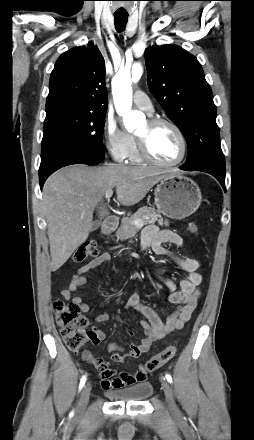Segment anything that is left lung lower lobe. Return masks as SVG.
Returning <instances> with one entry per match:
<instances>
[{"mask_svg":"<svg viewBox=\"0 0 254 440\" xmlns=\"http://www.w3.org/2000/svg\"><path fill=\"white\" fill-rule=\"evenodd\" d=\"M180 169L186 170V171L196 170V171L207 172V173L213 175L220 182L222 187L225 189V170H223V169H220L218 167L211 166V165H202V166L191 167V168L181 166Z\"/></svg>","mask_w":254,"mask_h":440,"instance_id":"0a47b994","label":"left lung lower lobe"}]
</instances>
